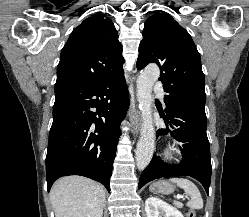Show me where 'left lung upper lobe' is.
<instances>
[{"mask_svg":"<svg viewBox=\"0 0 249 217\" xmlns=\"http://www.w3.org/2000/svg\"><path fill=\"white\" fill-rule=\"evenodd\" d=\"M139 45L137 68L156 63L160 69L166 107L188 102L204 107L206 94L199 52L189 35L168 13L148 17Z\"/></svg>","mask_w":249,"mask_h":217,"instance_id":"obj_1","label":"left lung upper lobe"}]
</instances>
